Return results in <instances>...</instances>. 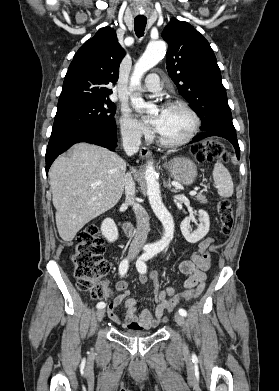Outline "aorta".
Listing matches in <instances>:
<instances>
[{"label": "aorta", "instance_id": "1", "mask_svg": "<svg viewBox=\"0 0 279 391\" xmlns=\"http://www.w3.org/2000/svg\"><path fill=\"white\" fill-rule=\"evenodd\" d=\"M165 53L166 44L164 41L159 40L150 42L143 55L135 64L134 72L131 77V85H140L144 73L154 67L164 57ZM131 103L133 107L137 109H143L147 112H152L154 110V106L150 103H146L141 97H133ZM145 181L150 206L164 227L162 239L152 245V248L159 252L165 249L173 239L174 222L171 214L162 202L160 186L152 161H149L146 165Z\"/></svg>", "mask_w": 279, "mask_h": 391}]
</instances>
